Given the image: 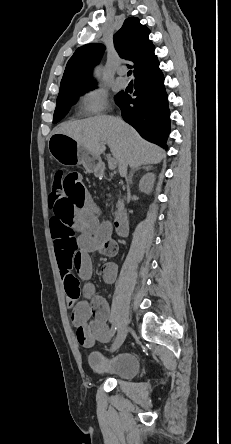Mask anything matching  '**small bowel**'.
I'll list each match as a JSON object with an SVG mask.
<instances>
[{"label":"small bowel","instance_id":"small-bowel-1","mask_svg":"<svg viewBox=\"0 0 231 444\" xmlns=\"http://www.w3.org/2000/svg\"><path fill=\"white\" fill-rule=\"evenodd\" d=\"M64 186L66 194L63 198L50 199L53 211L50 229L76 339L80 345L91 347L96 342L110 340V309L90 283L83 289L85 299H81L78 277L88 281L92 276L91 256H114L117 245L110 239L109 227L100 224L81 174L68 173ZM101 273L104 281L112 284L116 279V266L105 264Z\"/></svg>","mask_w":231,"mask_h":444}]
</instances>
